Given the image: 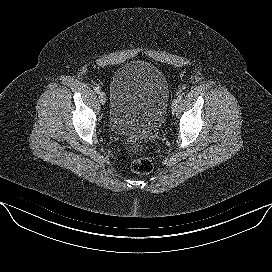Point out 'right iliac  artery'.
Wrapping results in <instances>:
<instances>
[{"instance_id": "1", "label": "right iliac artery", "mask_w": 272, "mask_h": 272, "mask_svg": "<svg viewBox=\"0 0 272 272\" xmlns=\"http://www.w3.org/2000/svg\"><path fill=\"white\" fill-rule=\"evenodd\" d=\"M94 91L96 92V93H100V88L99 87H94Z\"/></svg>"}]
</instances>
